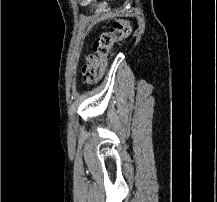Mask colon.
I'll return each mask as SVG.
<instances>
[{"label":"colon","mask_w":217,"mask_h":202,"mask_svg":"<svg viewBox=\"0 0 217 202\" xmlns=\"http://www.w3.org/2000/svg\"><path fill=\"white\" fill-rule=\"evenodd\" d=\"M131 30L130 21L127 18L120 17L116 19L108 31L102 33L95 39L92 51L85 57V63L81 67V78L84 82L88 79H95V70L97 69L98 76L93 84H96L101 79L106 69V58L111 47L118 42L125 40Z\"/></svg>","instance_id":"colon-1"}]
</instances>
